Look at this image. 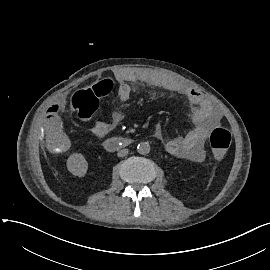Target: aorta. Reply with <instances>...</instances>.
Listing matches in <instances>:
<instances>
[{
    "mask_svg": "<svg viewBox=\"0 0 270 270\" xmlns=\"http://www.w3.org/2000/svg\"><path fill=\"white\" fill-rule=\"evenodd\" d=\"M137 151L142 155L148 154L150 152L149 142H140L137 146Z\"/></svg>",
    "mask_w": 270,
    "mask_h": 270,
    "instance_id": "obj_1",
    "label": "aorta"
}]
</instances>
